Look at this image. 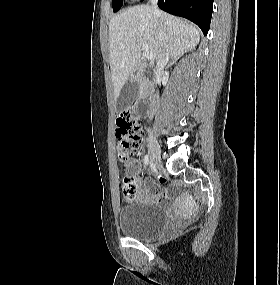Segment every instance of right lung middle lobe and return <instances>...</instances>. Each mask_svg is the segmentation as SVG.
<instances>
[{"label": "right lung middle lobe", "mask_w": 280, "mask_h": 285, "mask_svg": "<svg viewBox=\"0 0 280 285\" xmlns=\"http://www.w3.org/2000/svg\"><path fill=\"white\" fill-rule=\"evenodd\" d=\"M123 0H113V11L117 12L122 7Z\"/></svg>", "instance_id": "1"}]
</instances>
